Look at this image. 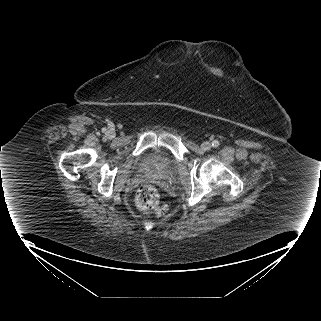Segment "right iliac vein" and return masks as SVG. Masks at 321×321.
I'll return each instance as SVG.
<instances>
[{
    "mask_svg": "<svg viewBox=\"0 0 321 321\" xmlns=\"http://www.w3.org/2000/svg\"><path fill=\"white\" fill-rule=\"evenodd\" d=\"M109 136L113 137L114 136V132L113 131H109Z\"/></svg>",
    "mask_w": 321,
    "mask_h": 321,
    "instance_id": "1",
    "label": "right iliac vein"
}]
</instances>
